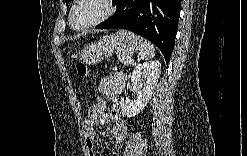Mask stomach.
<instances>
[{"mask_svg":"<svg viewBox=\"0 0 247 156\" xmlns=\"http://www.w3.org/2000/svg\"><path fill=\"white\" fill-rule=\"evenodd\" d=\"M138 49H140L138 37L130 31L119 30L105 35L95 44L85 46L81 51V59L86 64L97 65L115 51L130 56Z\"/></svg>","mask_w":247,"mask_h":156,"instance_id":"1","label":"stomach"}]
</instances>
